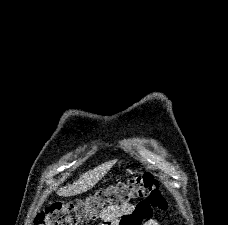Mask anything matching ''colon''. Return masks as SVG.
Segmentation results:
<instances>
[{
  "label": "colon",
  "instance_id": "5ec220e1",
  "mask_svg": "<svg viewBox=\"0 0 228 225\" xmlns=\"http://www.w3.org/2000/svg\"><path fill=\"white\" fill-rule=\"evenodd\" d=\"M136 199L164 208L167 202L150 173L120 179L100 188L85 200L55 201L36 217V225H87L106 217L104 211H116Z\"/></svg>",
  "mask_w": 228,
  "mask_h": 225
}]
</instances>
